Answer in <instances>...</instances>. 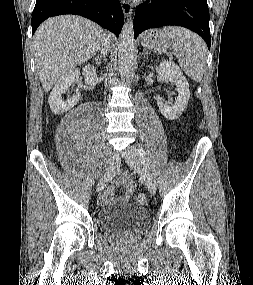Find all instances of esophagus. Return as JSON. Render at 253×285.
I'll return each mask as SVG.
<instances>
[{"instance_id":"1","label":"esophagus","mask_w":253,"mask_h":285,"mask_svg":"<svg viewBox=\"0 0 253 285\" xmlns=\"http://www.w3.org/2000/svg\"><path fill=\"white\" fill-rule=\"evenodd\" d=\"M122 10H123V13L125 15V17H129L132 13V6L129 2L123 0L122 1Z\"/></svg>"}]
</instances>
